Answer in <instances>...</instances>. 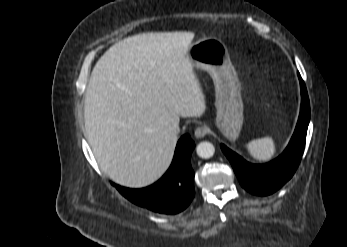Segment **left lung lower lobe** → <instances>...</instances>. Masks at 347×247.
I'll return each mask as SVG.
<instances>
[{"label": "left lung lower lobe", "mask_w": 347, "mask_h": 247, "mask_svg": "<svg viewBox=\"0 0 347 247\" xmlns=\"http://www.w3.org/2000/svg\"><path fill=\"white\" fill-rule=\"evenodd\" d=\"M298 77L302 96L300 115L287 148L278 158L263 165H255L221 144L240 184L254 195L266 196L276 192L290 180L300 163L310 119V104L305 83L299 73Z\"/></svg>", "instance_id": "left-lung-lower-lobe-1"}]
</instances>
